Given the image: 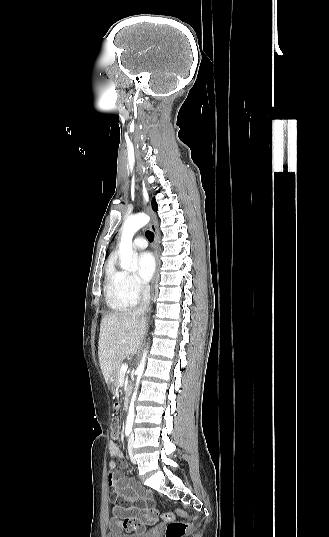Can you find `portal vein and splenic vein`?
Segmentation results:
<instances>
[{
	"label": "portal vein and splenic vein",
	"mask_w": 329,
	"mask_h": 537,
	"mask_svg": "<svg viewBox=\"0 0 329 537\" xmlns=\"http://www.w3.org/2000/svg\"><path fill=\"white\" fill-rule=\"evenodd\" d=\"M127 369H128V365H127V364H123V365L121 366V374L126 373Z\"/></svg>",
	"instance_id": "18ae733b"
}]
</instances>
